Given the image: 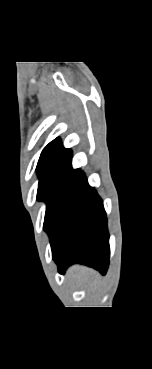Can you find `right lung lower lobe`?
Masks as SVG:
<instances>
[{
    "label": "right lung lower lobe",
    "mask_w": 152,
    "mask_h": 369,
    "mask_svg": "<svg viewBox=\"0 0 152 369\" xmlns=\"http://www.w3.org/2000/svg\"><path fill=\"white\" fill-rule=\"evenodd\" d=\"M49 237L60 273L74 263L106 273L110 256L106 213L83 172H78L62 199Z\"/></svg>",
    "instance_id": "98d812e1"
}]
</instances>
